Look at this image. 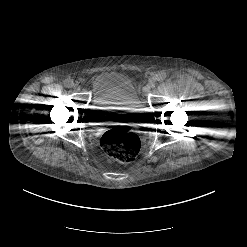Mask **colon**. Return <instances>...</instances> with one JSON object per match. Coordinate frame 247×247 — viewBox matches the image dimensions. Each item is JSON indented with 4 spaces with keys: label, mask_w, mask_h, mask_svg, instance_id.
<instances>
[{
    "label": "colon",
    "mask_w": 247,
    "mask_h": 247,
    "mask_svg": "<svg viewBox=\"0 0 247 247\" xmlns=\"http://www.w3.org/2000/svg\"><path fill=\"white\" fill-rule=\"evenodd\" d=\"M100 145L111 163L127 164L135 160L141 148L138 135L129 128L106 131Z\"/></svg>",
    "instance_id": "1"
}]
</instances>
